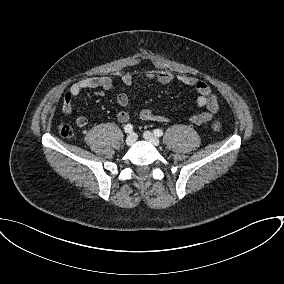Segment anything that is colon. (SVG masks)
Returning a JSON list of instances; mask_svg holds the SVG:
<instances>
[{
	"label": "colon",
	"mask_w": 284,
	"mask_h": 284,
	"mask_svg": "<svg viewBox=\"0 0 284 284\" xmlns=\"http://www.w3.org/2000/svg\"><path fill=\"white\" fill-rule=\"evenodd\" d=\"M212 128H213L214 131L218 132V131L221 130L222 127H221L220 122L213 121L212 122ZM59 132L65 138H73L75 136V132H74L72 125H70L68 123L61 124L59 126Z\"/></svg>",
	"instance_id": "obj_1"
}]
</instances>
